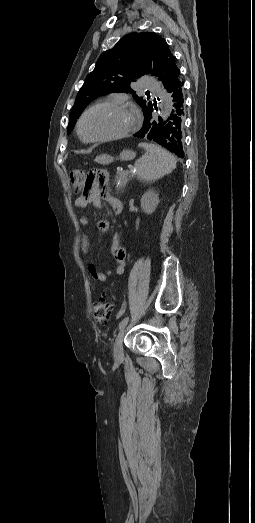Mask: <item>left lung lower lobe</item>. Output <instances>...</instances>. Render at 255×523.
Here are the masks:
<instances>
[{"label": "left lung lower lobe", "mask_w": 255, "mask_h": 523, "mask_svg": "<svg viewBox=\"0 0 255 523\" xmlns=\"http://www.w3.org/2000/svg\"><path fill=\"white\" fill-rule=\"evenodd\" d=\"M186 85L184 80H181L179 76L173 78V82H169V85L165 87V93L170 95L172 98L173 108L170 120L167 115L162 114L156 115L157 111H150L149 117L147 118L148 123L144 125L141 130L136 131V136L148 137V140H153L155 146L169 147L168 151L172 154L177 153V157L181 162L186 160L184 154L185 144L183 140V121H184V92L182 89ZM173 91V92H172ZM166 126H162L165 125Z\"/></svg>", "instance_id": "1"}]
</instances>
